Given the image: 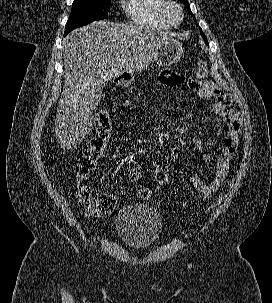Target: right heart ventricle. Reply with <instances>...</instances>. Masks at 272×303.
<instances>
[{"label":"right heart ventricle","instance_id":"right-heart-ventricle-1","mask_svg":"<svg viewBox=\"0 0 272 303\" xmlns=\"http://www.w3.org/2000/svg\"><path fill=\"white\" fill-rule=\"evenodd\" d=\"M164 0H126L125 11L129 20L139 26L166 29L169 25L161 15Z\"/></svg>","mask_w":272,"mask_h":303}]
</instances>
